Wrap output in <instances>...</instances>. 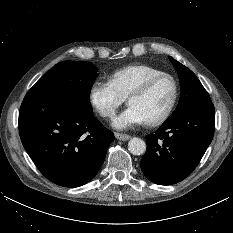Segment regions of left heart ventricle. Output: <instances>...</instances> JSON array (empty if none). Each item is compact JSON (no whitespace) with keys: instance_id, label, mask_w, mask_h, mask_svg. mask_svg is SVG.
I'll return each mask as SVG.
<instances>
[{"instance_id":"b2bd125f","label":"left heart ventricle","mask_w":233,"mask_h":233,"mask_svg":"<svg viewBox=\"0 0 233 233\" xmlns=\"http://www.w3.org/2000/svg\"><path fill=\"white\" fill-rule=\"evenodd\" d=\"M173 96V85L169 79L157 81L145 94L133 97L129 104L135 106L146 121L159 117L168 107Z\"/></svg>"}]
</instances>
